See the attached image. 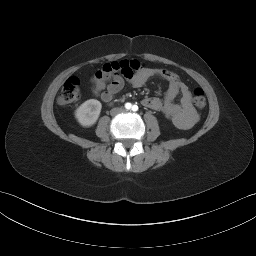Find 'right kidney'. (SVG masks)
Wrapping results in <instances>:
<instances>
[{"label":"right kidney","mask_w":256,"mask_h":256,"mask_svg":"<svg viewBox=\"0 0 256 256\" xmlns=\"http://www.w3.org/2000/svg\"><path fill=\"white\" fill-rule=\"evenodd\" d=\"M102 104L96 99H89L75 110V118L83 127H90L96 123L101 112Z\"/></svg>","instance_id":"ca27d5eb"}]
</instances>
